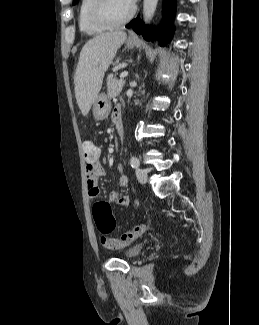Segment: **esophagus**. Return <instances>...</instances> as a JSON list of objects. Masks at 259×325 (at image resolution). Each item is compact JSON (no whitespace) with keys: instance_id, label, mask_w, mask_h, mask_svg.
<instances>
[{"instance_id":"obj_1","label":"esophagus","mask_w":259,"mask_h":325,"mask_svg":"<svg viewBox=\"0 0 259 325\" xmlns=\"http://www.w3.org/2000/svg\"><path fill=\"white\" fill-rule=\"evenodd\" d=\"M135 37H136V36H135L134 33H130V34H129V38H130V39H135Z\"/></svg>"}]
</instances>
